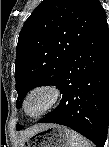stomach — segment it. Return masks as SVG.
<instances>
[{"instance_id":"stomach-1","label":"stomach","mask_w":109,"mask_h":147,"mask_svg":"<svg viewBox=\"0 0 109 147\" xmlns=\"http://www.w3.org/2000/svg\"><path fill=\"white\" fill-rule=\"evenodd\" d=\"M70 133L64 126L49 124L23 140L21 147H69Z\"/></svg>"}]
</instances>
